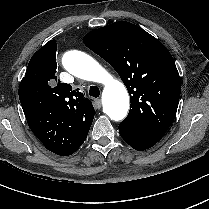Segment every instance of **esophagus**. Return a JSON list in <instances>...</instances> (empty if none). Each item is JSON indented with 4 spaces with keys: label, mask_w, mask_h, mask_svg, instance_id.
<instances>
[{
    "label": "esophagus",
    "mask_w": 209,
    "mask_h": 209,
    "mask_svg": "<svg viewBox=\"0 0 209 209\" xmlns=\"http://www.w3.org/2000/svg\"><path fill=\"white\" fill-rule=\"evenodd\" d=\"M95 106H96V108H98V109L101 108V99H96V100H95Z\"/></svg>",
    "instance_id": "esophagus-1"
}]
</instances>
